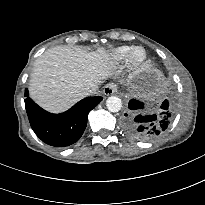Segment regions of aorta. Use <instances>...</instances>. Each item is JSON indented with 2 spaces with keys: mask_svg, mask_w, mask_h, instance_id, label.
Here are the masks:
<instances>
[{
  "mask_svg": "<svg viewBox=\"0 0 205 205\" xmlns=\"http://www.w3.org/2000/svg\"><path fill=\"white\" fill-rule=\"evenodd\" d=\"M106 106L110 112H118L122 108V101L117 96H110L106 100Z\"/></svg>",
  "mask_w": 205,
  "mask_h": 205,
  "instance_id": "obj_1",
  "label": "aorta"
}]
</instances>
